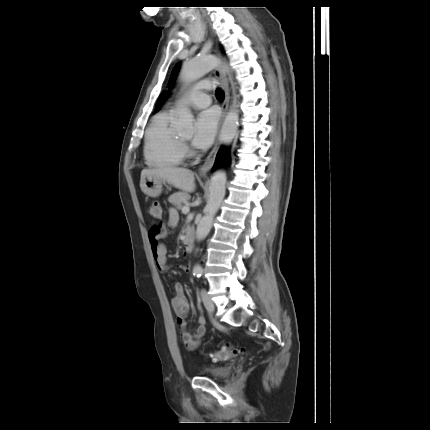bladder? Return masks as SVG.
<instances>
[{"mask_svg":"<svg viewBox=\"0 0 430 430\" xmlns=\"http://www.w3.org/2000/svg\"><path fill=\"white\" fill-rule=\"evenodd\" d=\"M204 372L215 379H225L232 373V368L228 366L207 367Z\"/></svg>","mask_w":430,"mask_h":430,"instance_id":"bladder-1","label":"bladder"}]
</instances>
